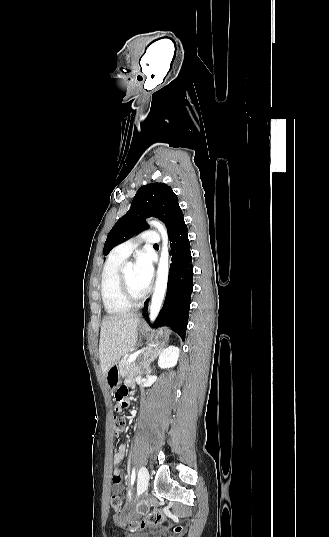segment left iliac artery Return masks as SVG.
<instances>
[{
  "label": "left iliac artery",
  "instance_id": "44dca946",
  "mask_svg": "<svg viewBox=\"0 0 329 537\" xmlns=\"http://www.w3.org/2000/svg\"><path fill=\"white\" fill-rule=\"evenodd\" d=\"M135 468L132 469V474H131V480H130V488H132L133 484H134V481H135Z\"/></svg>",
  "mask_w": 329,
  "mask_h": 537
}]
</instances>
